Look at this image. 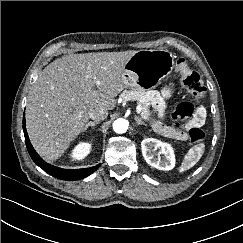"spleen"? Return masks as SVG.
Listing matches in <instances>:
<instances>
[{"mask_svg": "<svg viewBox=\"0 0 243 243\" xmlns=\"http://www.w3.org/2000/svg\"><path fill=\"white\" fill-rule=\"evenodd\" d=\"M205 145L204 143L197 144L191 147L184 157V160L179 168V172L186 171L193 167L202 157L204 153Z\"/></svg>", "mask_w": 243, "mask_h": 243, "instance_id": "spleen-1", "label": "spleen"}]
</instances>
